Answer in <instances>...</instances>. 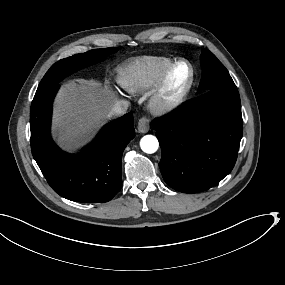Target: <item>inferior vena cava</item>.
Returning a JSON list of instances; mask_svg holds the SVG:
<instances>
[{
    "label": "inferior vena cava",
    "mask_w": 285,
    "mask_h": 285,
    "mask_svg": "<svg viewBox=\"0 0 285 285\" xmlns=\"http://www.w3.org/2000/svg\"><path fill=\"white\" fill-rule=\"evenodd\" d=\"M129 103L127 101L118 100L108 111V116H121L127 112Z\"/></svg>",
    "instance_id": "inferior-vena-cava-1"
}]
</instances>
